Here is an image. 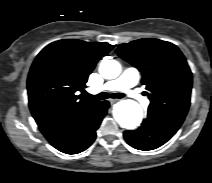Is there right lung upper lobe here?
Segmentation results:
<instances>
[{"label": "right lung upper lobe", "mask_w": 212, "mask_h": 183, "mask_svg": "<svg viewBox=\"0 0 212 183\" xmlns=\"http://www.w3.org/2000/svg\"><path fill=\"white\" fill-rule=\"evenodd\" d=\"M113 48L108 43L64 39L47 45L37 55L27 89L29 107L39 127L99 104L76 92L86 87L97 61Z\"/></svg>", "instance_id": "cb5924a9"}]
</instances>
